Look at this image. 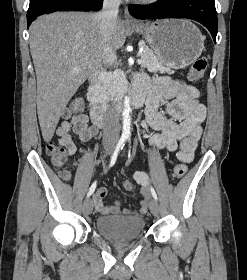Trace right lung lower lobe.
I'll return each instance as SVG.
<instances>
[{
	"label": "right lung lower lobe",
	"mask_w": 247,
	"mask_h": 280,
	"mask_svg": "<svg viewBox=\"0 0 247 280\" xmlns=\"http://www.w3.org/2000/svg\"><path fill=\"white\" fill-rule=\"evenodd\" d=\"M103 0H35L27 12V24L42 14L61 10H98Z\"/></svg>",
	"instance_id": "right-lung-lower-lobe-1"
}]
</instances>
